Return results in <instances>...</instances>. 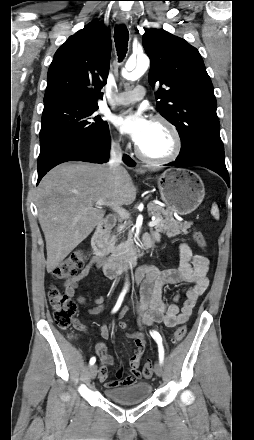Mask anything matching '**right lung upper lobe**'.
Listing matches in <instances>:
<instances>
[{"label": "right lung upper lobe", "instance_id": "right-lung-upper-lobe-1", "mask_svg": "<svg viewBox=\"0 0 254 440\" xmlns=\"http://www.w3.org/2000/svg\"><path fill=\"white\" fill-rule=\"evenodd\" d=\"M111 52L109 30L92 21L59 47L47 74L44 105L61 99L97 104L106 83Z\"/></svg>", "mask_w": 254, "mask_h": 440}]
</instances>
